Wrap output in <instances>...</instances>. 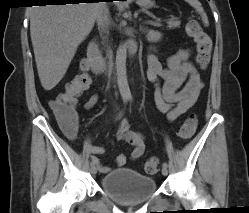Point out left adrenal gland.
<instances>
[{"instance_id": "obj_1", "label": "left adrenal gland", "mask_w": 249, "mask_h": 213, "mask_svg": "<svg viewBox=\"0 0 249 213\" xmlns=\"http://www.w3.org/2000/svg\"><path fill=\"white\" fill-rule=\"evenodd\" d=\"M140 30L143 31L144 33H146L148 29L147 28H143L142 26H140Z\"/></svg>"}]
</instances>
